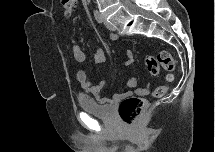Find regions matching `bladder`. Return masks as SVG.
Here are the masks:
<instances>
[{"instance_id": "bladder-1", "label": "bladder", "mask_w": 215, "mask_h": 152, "mask_svg": "<svg viewBox=\"0 0 215 152\" xmlns=\"http://www.w3.org/2000/svg\"><path fill=\"white\" fill-rule=\"evenodd\" d=\"M79 105L83 111L98 118L111 120L114 117V109L111 104H102L93 98L80 97Z\"/></svg>"}]
</instances>
